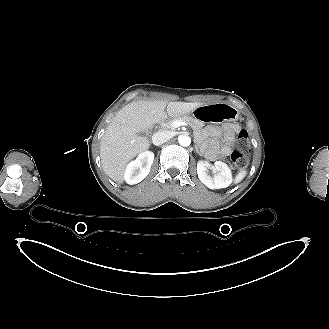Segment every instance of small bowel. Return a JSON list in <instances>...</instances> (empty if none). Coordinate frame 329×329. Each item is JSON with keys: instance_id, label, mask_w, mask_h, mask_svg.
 Listing matches in <instances>:
<instances>
[{"instance_id": "c3829d8e", "label": "small bowel", "mask_w": 329, "mask_h": 329, "mask_svg": "<svg viewBox=\"0 0 329 329\" xmlns=\"http://www.w3.org/2000/svg\"><path fill=\"white\" fill-rule=\"evenodd\" d=\"M239 125H229L225 128L209 126L206 133L209 137V149L211 158H224L231 154L236 142V136L240 132Z\"/></svg>"}]
</instances>
